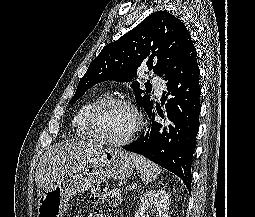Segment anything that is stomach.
Masks as SVG:
<instances>
[{
	"mask_svg": "<svg viewBox=\"0 0 255 217\" xmlns=\"http://www.w3.org/2000/svg\"><path fill=\"white\" fill-rule=\"evenodd\" d=\"M135 164L128 152L105 149L82 168L44 187L38 195V217H63L74 195L103 180L123 181L130 177Z\"/></svg>",
	"mask_w": 255,
	"mask_h": 217,
	"instance_id": "0dacf381",
	"label": "stomach"
}]
</instances>
